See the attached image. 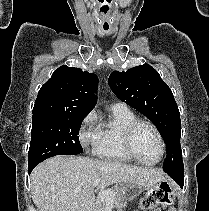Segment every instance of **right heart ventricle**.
Wrapping results in <instances>:
<instances>
[{"mask_svg":"<svg viewBox=\"0 0 209 211\" xmlns=\"http://www.w3.org/2000/svg\"><path fill=\"white\" fill-rule=\"evenodd\" d=\"M135 120L136 116L129 109H112L108 120L99 125V137L93 148L94 154L105 161L132 163L133 159L125 151L123 136L126 128Z\"/></svg>","mask_w":209,"mask_h":211,"instance_id":"1","label":"right heart ventricle"}]
</instances>
